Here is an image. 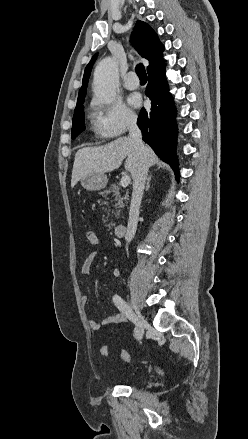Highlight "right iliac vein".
Instances as JSON below:
<instances>
[{
    "instance_id": "63e3f726",
    "label": "right iliac vein",
    "mask_w": 248,
    "mask_h": 439,
    "mask_svg": "<svg viewBox=\"0 0 248 439\" xmlns=\"http://www.w3.org/2000/svg\"><path fill=\"white\" fill-rule=\"evenodd\" d=\"M132 305H133V308L135 310V316L137 318V327H138V330H139V338L138 339H141L143 334H144V329L146 327V322L143 319V317L141 316L140 311L137 308V306L133 302H132Z\"/></svg>"
}]
</instances>
